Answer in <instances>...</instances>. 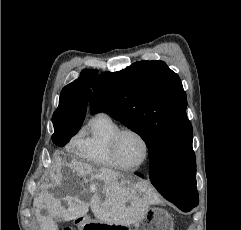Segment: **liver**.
I'll return each mask as SVG.
<instances>
[{
	"label": "liver",
	"instance_id": "1",
	"mask_svg": "<svg viewBox=\"0 0 241 230\" xmlns=\"http://www.w3.org/2000/svg\"><path fill=\"white\" fill-rule=\"evenodd\" d=\"M63 165L61 159H56L54 168L57 174L53 175L54 183L69 191L71 185L76 184L74 181L82 177L81 195L87 193L91 195L88 202L78 196L68 197V204L65 207L60 200L54 198L53 194L46 190L40 192L34 198L33 206L37 217L40 216L42 209L49 212V216L43 221V230H58L53 217L70 221L85 216L89 207L101 222L130 226L140 221L152 204V193L144 184L131 185L129 181L117 183V177L120 175L117 171L72 161L67 164L63 176L60 173ZM88 183L89 188L85 186Z\"/></svg>",
	"mask_w": 241,
	"mask_h": 230
}]
</instances>
